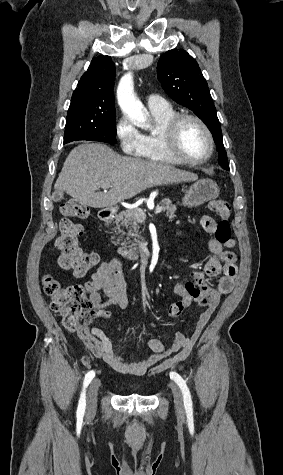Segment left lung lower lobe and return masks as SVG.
<instances>
[{
	"label": "left lung lower lobe",
	"mask_w": 283,
	"mask_h": 475,
	"mask_svg": "<svg viewBox=\"0 0 283 475\" xmlns=\"http://www.w3.org/2000/svg\"><path fill=\"white\" fill-rule=\"evenodd\" d=\"M213 138L216 143L217 151L219 152L218 162L222 168H224L225 170H229L227 154L223 145V139L222 137H217L215 135H213Z\"/></svg>",
	"instance_id": "obj_1"
}]
</instances>
